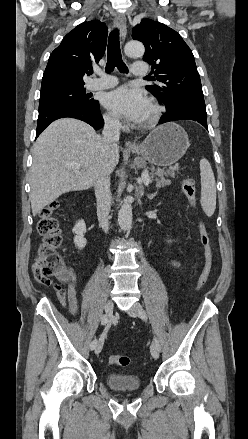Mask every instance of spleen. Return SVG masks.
<instances>
[{"instance_id":"obj_1","label":"spleen","mask_w":248,"mask_h":439,"mask_svg":"<svg viewBox=\"0 0 248 439\" xmlns=\"http://www.w3.org/2000/svg\"><path fill=\"white\" fill-rule=\"evenodd\" d=\"M201 206L207 216H212L216 208V184L211 165L206 158L200 160Z\"/></svg>"}]
</instances>
